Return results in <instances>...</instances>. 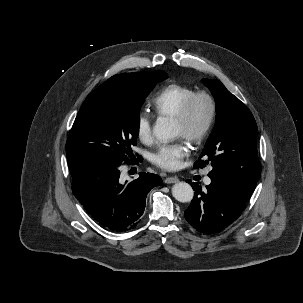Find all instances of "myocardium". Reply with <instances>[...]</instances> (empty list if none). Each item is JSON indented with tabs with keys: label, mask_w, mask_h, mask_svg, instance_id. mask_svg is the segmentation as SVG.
<instances>
[{
	"label": "myocardium",
	"mask_w": 303,
	"mask_h": 303,
	"mask_svg": "<svg viewBox=\"0 0 303 303\" xmlns=\"http://www.w3.org/2000/svg\"><path fill=\"white\" fill-rule=\"evenodd\" d=\"M199 98H204L207 101L208 114L202 127L196 133L186 136V139L195 145L203 142L213 126L217 112V105L214 97L204 90L195 91L185 100L178 113L173 117L174 120L180 124L184 126L187 125L190 120L192 108Z\"/></svg>",
	"instance_id": "1"
}]
</instances>
